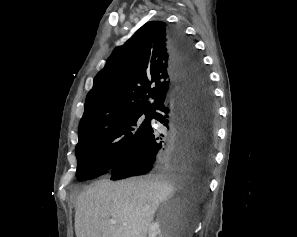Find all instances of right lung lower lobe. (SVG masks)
Segmentation results:
<instances>
[{"label":"right lung lower lobe","mask_w":297,"mask_h":237,"mask_svg":"<svg viewBox=\"0 0 297 237\" xmlns=\"http://www.w3.org/2000/svg\"><path fill=\"white\" fill-rule=\"evenodd\" d=\"M171 69L177 88L153 118L165 128L146 137L113 166L111 180L149 173L208 174L213 164L216 109L207 73L184 32L170 28Z\"/></svg>","instance_id":"right-lung-lower-lobe-1"}]
</instances>
